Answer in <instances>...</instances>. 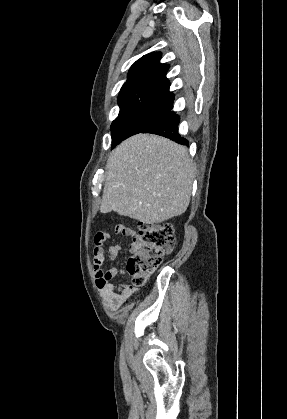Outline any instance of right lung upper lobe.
<instances>
[{
    "mask_svg": "<svg viewBox=\"0 0 287 419\" xmlns=\"http://www.w3.org/2000/svg\"><path fill=\"white\" fill-rule=\"evenodd\" d=\"M161 53H150L136 61L121 88L120 111L134 107L173 106L174 95L166 78L169 66L159 62Z\"/></svg>",
    "mask_w": 287,
    "mask_h": 419,
    "instance_id": "obj_1",
    "label": "right lung upper lobe"
}]
</instances>
